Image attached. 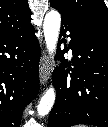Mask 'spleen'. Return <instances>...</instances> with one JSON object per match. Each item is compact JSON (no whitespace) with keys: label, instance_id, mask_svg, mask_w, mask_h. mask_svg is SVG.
Returning a JSON list of instances; mask_svg holds the SVG:
<instances>
[{"label":"spleen","instance_id":"obj_1","mask_svg":"<svg viewBox=\"0 0 108 127\" xmlns=\"http://www.w3.org/2000/svg\"><path fill=\"white\" fill-rule=\"evenodd\" d=\"M75 127H88V126H86V125H77Z\"/></svg>","mask_w":108,"mask_h":127}]
</instances>
